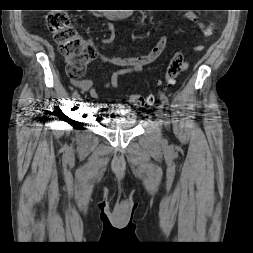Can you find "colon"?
Segmentation results:
<instances>
[{"label":"colon","instance_id":"colon-1","mask_svg":"<svg viewBox=\"0 0 253 253\" xmlns=\"http://www.w3.org/2000/svg\"><path fill=\"white\" fill-rule=\"evenodd\" d=\"M46 25L58 44L60 54L66 59V70L70 77H81L86 66L96 57V50L84 41L74 29L69 14L65 11H52L46 19ZM212 28L204 30L206 37L211 36ZM187 68L182 51H175L166 69L161 89L174 85L178 76ZM129 103L135 106H149L155 101L153 95L143 96L136 93L127 95Z\"/></svg>","mask_w":253,"mask_h":253}]
</instances>
